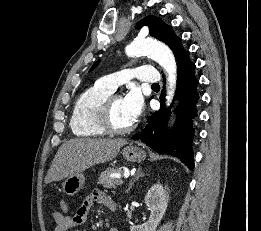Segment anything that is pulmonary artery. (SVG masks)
Wrapping results in <instances>:
<instances>
[{"mask_svg":"<svg viewBox=\"0 0 261 231\" xmlns=\"http://www.w3.org/2000/svg\"><path fill=\"white\" fill-rule=\"evenodd\" d=\"M132 78L146 83H159L161 80L154 67L140 66L105 75L99 83L114 92L122 83Z\"/></svg>","mask_w":261,"mask_h":231,"instance_id":"obj_1","label":"pulmonary artery"}]
</instances>
